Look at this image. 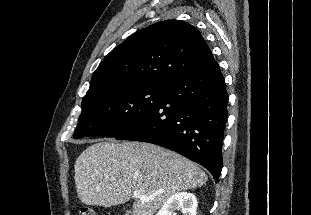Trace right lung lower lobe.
<instances>
[{
	"mask_svg": "<svg viewBox=\"0 0 311 215\" xmlns=\"http://www.w3.org/2000/svg\"><path fill=\"white\" fill-rule=\"evenodd\" d=\"M163 100L118 140L149 142L171 149L204 166L219 180L228 94L218 63L163 84Z\"/></svg>",
	"mask_w": 311,
	"mask_h": 215,
	"instance_id": "obj_1",
	"label": "right lung lower lobe"
}]
</instances>
